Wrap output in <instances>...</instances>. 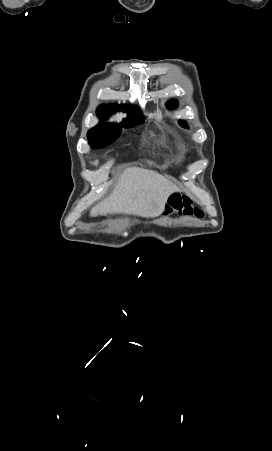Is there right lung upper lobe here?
I'll return each mask as SVG.
<instances>
[{"label": "right lung upper lobe", "instance_id": "right-lung-upper-lobe-1", "mask_svg": "<svg viewBox=\"0 0 272 451\" xmlns=\"http://www.w3.org/2000/svg\"><path fill=\"white\" fill-rule=\"evenodd\" d=\"M117 109H119V110H124V111H133V110H136V109H139V108H137V107H134V108H132V107H130V106H127V105H113V104H108V105H100L98 108H97V113H113V112H115Z\"/></svg>", "mask_w": 272, "mask_h": 451}]
</instances>
